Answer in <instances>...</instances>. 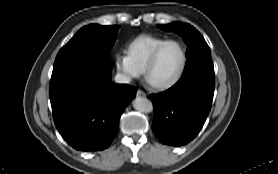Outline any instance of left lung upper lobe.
<instances>
[{
  "mask_svg": "<svg viewBox=\"0 0 278 174\" xmlns=\"http://www.w3.org/2000/svg\"><path fill=\"white\" fill-rule=\"evenodd\" d=\"M166 31H173L187 44V65L180 80L196 75L215 77L214 66L210 58V49L203 36L190 24L174 22L168 25H159Z\"/></svg>",
  "mask_w": 278,
  "mask_h": 174,
  "instance_id": "1",
  "label": "left lung upper lobe"
}]
</instances>
